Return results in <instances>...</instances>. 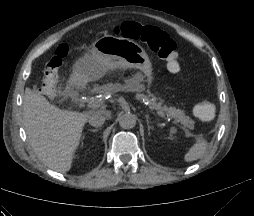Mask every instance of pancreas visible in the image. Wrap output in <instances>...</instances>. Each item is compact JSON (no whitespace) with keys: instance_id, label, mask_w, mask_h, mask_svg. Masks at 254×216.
<instances>
[{"instance_id":"cf45deb5","label":"pancreas","mask_w":254,"mask_h":216,"mask_svg":"<svg viewBox=\"0 0 254 216\" xmlns=\"http://www.w3.org/2000/svg\"><path fill=\"white\" fill-rule=\"evenodd\" d=\"M126 87L130 91H134V92H140L143 89L140 83H134V82H127ZM114 90H115V86L113 85H106L102 87L103 92L105 91L112 92ZM136 97L137 99H141V100L148 99L147 96L141 93H137ZM157 100L158 99L153 94H151L149 107L157 111L163 112L164 114H166L167 117L173 118L175 122L180 123L183 126L185 135L187 137H190L191 132L189 130H192L194 128V121L190 119V117L187 116L183 110L176 109L174 107H168L167 105H163L161 101L157 102Z\"/></svg>"}]
</instances>
